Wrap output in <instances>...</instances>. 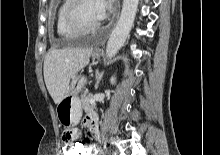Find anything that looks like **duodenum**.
Listing matches in <instances>:
<instances>
[{"label": "duodenum", "mask_w": 220, "mask_h": 155, "mask_svg": "<svg viewBox=\"0 0 220 155\" xmlns=\"http://www.w3.org/2000/svg\"><path fill=\"white\" fill-rule=\"evenodd\" d=\"M96 131H97V128H96V127H93V128H92V133L95 134Z\"/></svg>", "instance_id": "duodenum-1"}]
</instances>
